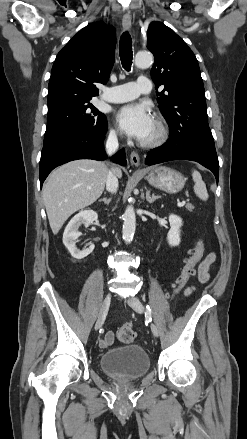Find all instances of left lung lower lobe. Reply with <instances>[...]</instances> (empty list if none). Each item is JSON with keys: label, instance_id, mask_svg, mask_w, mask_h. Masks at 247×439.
<instances>
[{"label": "left lung lower lobe", "instance_id": "0a47b994", "mask_svg": "<svg viewBox=\"0 0 247 439\" xmlns=\"http://www.w3.org/2000/svg\"><path fill=\"white\" fill-rule=\"evenodd\" d=\"M177 159L191 160L200 163L211 170L218 181L219 163L217 155L209 151L183 146L172 138L163 146L149 151L145 162L147 165H154Z\"/></svg>", "mask_w": 247, "mask_h": 439}]
</instances>
